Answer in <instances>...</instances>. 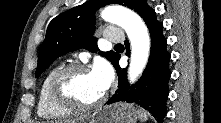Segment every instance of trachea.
Returning <instances> with one entry per match:
<instances>
[{
	"instance_id": "obj_1",
	"label": "trachea",
	"mask_w": 221,
	"mask_h": 123,
	"mask_svg": "<svg viewBox=\"0 0 221 123\" xmlns=\"http://www.w3.org/2000/svg\"><path fill=\"white\" fill-rule=\"evenodd\" d=\"M115 46H123L122 44H116Z\"/></svg>"
}]
</instances>
